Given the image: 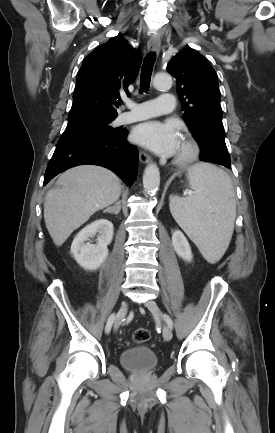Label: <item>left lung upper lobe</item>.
<instances>
[{"label":"left lung upper lobe","mask_w":275,"mask_h":433,"mask_svg":"<svg viewBox=\"0 0 275 433\" xmlns=\"http://www.w3.org/2000/svg\"><path fill=\"white\" fill-rule=\"evenodd\" d=\"M176 78L183 118L202 150L201 159L219 165L230 163L222 123L217 74L196 50L185 48L167 67Z\"/></svg>","instance_id":"5c2ea615"}]
</instances>
